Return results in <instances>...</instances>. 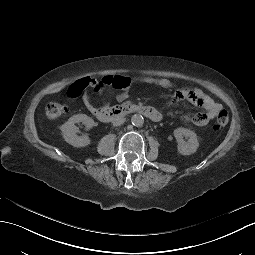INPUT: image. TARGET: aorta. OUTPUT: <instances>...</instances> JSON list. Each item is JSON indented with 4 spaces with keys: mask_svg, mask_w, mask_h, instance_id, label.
I'll use <instances>...</instances> for the list:
<instances>
[{
    "mask_svg": "<svg viewBox=\"0 0 255 255\" xmlns=\"http://www.w3.org/2000/svg\"><path fill=\"white\" fill-rule=\"evenodd\" d=\"M131 123L136 126V127H140L143 125L144 123V118L142 115L140 114H134L132 117H131Z\"/></svg>",
    "mask_w": 255,
    "mask_h": 255,
    "instance_id": "aorta-1",
    "label": "aorta"
}]
</instances>
